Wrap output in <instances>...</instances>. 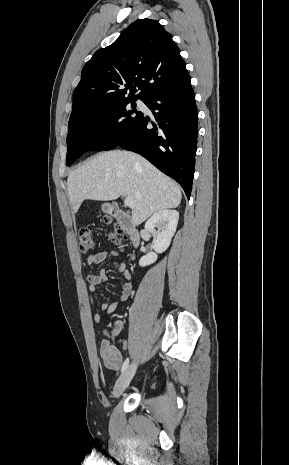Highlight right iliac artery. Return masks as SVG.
<instances>
[{
  "mask_svg": "<svg viewBox=\"0 0 289 465\" xmlns=\"http://www.w3.org/2000/svg\"><path fill=\"white\" fill-rule=\"evenodd\" d=\"M128 365H129V358H127L122 365V368H121L122 373L127 369Z\"/></svg>",
  "mask_w": 289,
  "mask_h": 465,
  "instance_id": "82829eb1",
  "label": "right iliac artery"
}]
</instances>
